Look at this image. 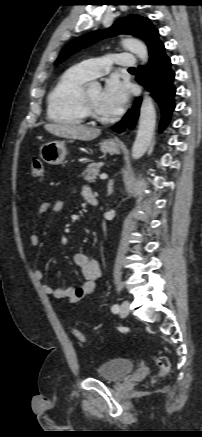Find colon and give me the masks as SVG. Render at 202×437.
Listing matches in <instances>:
<instances>
[{"instance_id":"5ec220e1","label":"colon","mask_w":202,"mask_h":437,"mask_svg":"<svg viewBox=\"0 0 202 437\" xmlns=\"http://www.w3.org/2000/svg\"><path fill=\"white\" fill-rule=\"evenodd\" d=\"M30 172L34 177H42L44 175V165L42 160L39 157H33L30 163ZM73 335L76 340L80 343H85L87 341L85 335L77 330H73ZM155 364L159 368V372L157 377L165 376L170 370V361L166 356L157 355L154 358Z\"/></svg>"}]
</instances>
